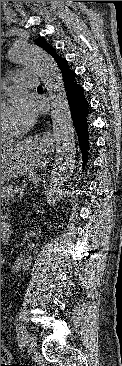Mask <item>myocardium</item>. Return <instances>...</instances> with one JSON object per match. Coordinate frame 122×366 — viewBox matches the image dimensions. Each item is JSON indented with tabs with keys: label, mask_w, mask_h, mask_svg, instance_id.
<instances>
[{
	"label": "myocardium",
	"mask_w": 122,
	"mask_h": 366,
	"mask_svg": "<svg viewBox=\"0 0 122 366\" xmlns=\"http://www.w3.org/2000/svg\"><path fill=\"white\" fill-rule=\"evenodd\" d=\"M5 106H6L5 101L4 100H1V107H5ZM14 139H15V134L14 135H10V136H5V137H2L1 136V144L2 143H10Z\"/></svg>",
	"instance_id": "1"
}]
</instances>
